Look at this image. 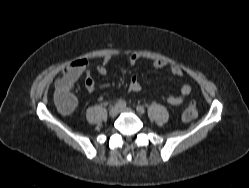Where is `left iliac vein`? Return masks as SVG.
Here are the masks:
<instances>
[{
  "mask_svg": "<svg viewBox=\"0 0 249 188\" xmlns=\"http://www.w3.org/2000/svg\"><path fill=\"white\" fill-rule=\"evenodd\" d=\"M119 111H120V112L135 113V111H134L132 108H130V107H121V108L119 109Z\"/></svg>",
  "mask_w": 249,
  "mask_h": 188,
  "instance_id": "1",
  "label": "left iliac vein"
}]
</instances>
